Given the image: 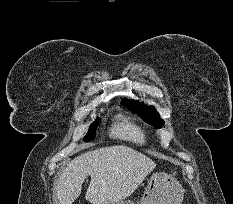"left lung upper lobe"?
Segmentation results:
<instances>
[{
  "label": "left lung upper lobe",
  "instance_id": "left-lung-upper-lobe-1",
  "mask_svg": "<svg viewBox=\"0 0 233 204\" xmlns=\"http://www.w3.org/2000/svg\"><path fill=\"white\" fill-rule=\"evenodd\" d=\"M121 104L129 110L138 113L144 121L151 125L154 124L156 128H160L164 125V121L159 119L158 113L150 106H145L143 103L130 101L126 98L122 99Z\"/></svg>",
  "mask_w": 233,
  "mask_h": 204
}]
</instances>
